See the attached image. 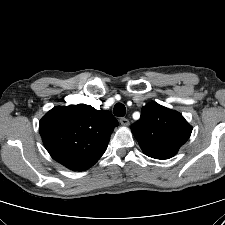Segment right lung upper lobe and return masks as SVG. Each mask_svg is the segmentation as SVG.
Masks as SVG:
<instances>
[{"label": "right lung upper lobe", "mask_w": 225, "mask_h": 225, "mask_svg": "<svg viewBox=\"0 0 225 225\" xmlns=\"http://www.w3.org/2000/svg\"><path fill=\"white\" fill-rule=\"evenodd\" d=\"M118 121L109 112L85 104L56 106L39 122L51 157L74 171L93 166L105 152Z\"/></svg>", "instance_id": "cb5924a9"}]
</instances>
